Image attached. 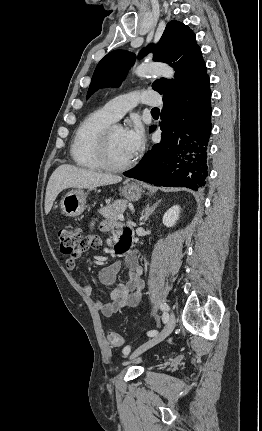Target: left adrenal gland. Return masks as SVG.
Wrapping results in <instances>:
<instances>
[{
    "label": "left adrenal gland",
    "mask_w": 262,
    "mask_h": 431,
    "mask_svg": "<svg viewBox=\"0 0 262 431\" xmlns=\"http://www.w3.org/2000/svg\"><path fill=\"white\" fill-rule=\"evenodd\" d=\"M160 202L161 201L159 200L158 202L153 204L151 207L149 204L145 207V209L143 210V213H142V217H141L142 223L149 219V217L154 213V211L156 210V208L158 207Z\"/></svg>",
    "instance_id": "left-adrenal-gland-1"
}]
</instances>
